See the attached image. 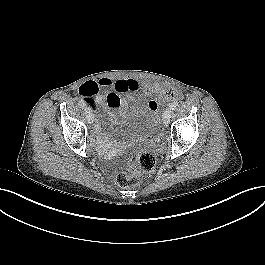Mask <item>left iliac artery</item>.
I'll return each mask as SVG.
<instances>
[{"label":"left iliac artery","mask_w":265,"mask_h":265,"mask_svg":"<svg viewBox=\"0 0 265 265\" xmlns=\"http://www.w3.org/2000/svg\"><path fill=\"white\" fill-rule=\"evenodd\" d=\"M177 106H178V102L177 101H174L173 103H171L170 109L171 110H175Z\"/></svg>","instance_id":"left-iliac-artery-1"}]
</instances>
